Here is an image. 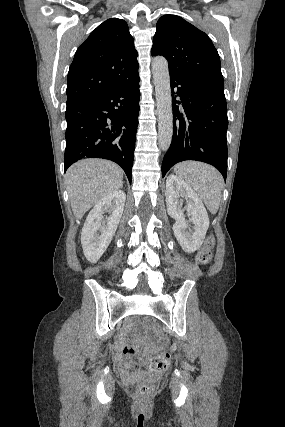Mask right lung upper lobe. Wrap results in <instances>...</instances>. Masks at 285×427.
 <instances>
[{"instance_id": "right-lung-upper-lobe-1", "label": "right lung upper lobe", "mask_w": 285, "mask_h": 427, "mask_svg": "<svg viewBox=\"0 0 285 427\" xmlns=\"http://www.w3.org/2000/svg\"><path fill=\"white\" fill-rule=\"evenodd\" d=\"M138 53L127 23L111 18L77 49L70 65L67 105L119 88L138 77Z\"/></svg>"}]
</instances>
